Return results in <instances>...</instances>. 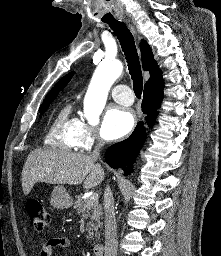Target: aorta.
<instances>
[{
	"label": "aorta",
	"instance_id": "obj_1",
	"mask_svg": "<svg viewBox=\"0 0 221 256\" xmlns=\"http://www.w3.org/2000/svg\"><path fill=\"white\" fill-rule=\"evenodd\" d=\"M119 60H104L96 68L84 99V116L96 123L104 109L110 87L121 75Z\"/></svg>",
	"mask_w": 221,
	"mask_h": 256
}]
</instances>
